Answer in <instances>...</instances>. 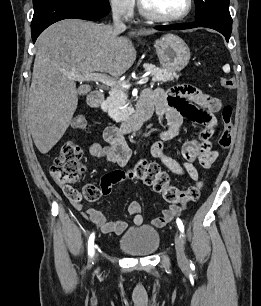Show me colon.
Returning <instances> with one entry per match:
<instances>
[{
  "instance_id": "colon-1",
  "label": "colon",
  "mask_w": 261,
  "mask_h": 306,
  "mask_svg": "<svg viewBox=\"0 0 261 306\" xmlns=\"http://www.w3.org/2000/svg\"><path fill=\"white\" fill-rule=\"evenodd\" d=\"M221 86L226 90L235 87V80L232 77H222ZM223 129L218 139L220 149H228L234 138L233 109L225 106L221 112ZM74 128L86 130L87 120L83 115H77L72 122ZM82 150L74 140L66 141L59 155L54 159L50 167V174L56 183L65 188L71 195L82 199V195L71 187V184L81 180L85 173V167L81 162ZM125 179H140L154 191L161 193L168 203L195 202L199 199L202 184L200 182L190 186L186 190H180L169 183V176L161 170L157 163L147 160H139L127 171H114L108 174L107 180L110 182H121ZM104 194L102 188L91 186L83 191V197L89 201H96Z\"/></svg>"
}]
</instances>
